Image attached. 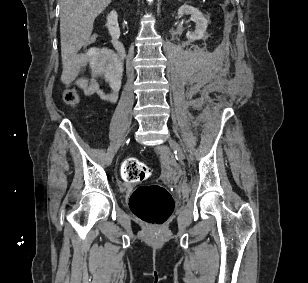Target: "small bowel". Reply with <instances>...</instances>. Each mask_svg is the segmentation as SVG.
<instances>
[{
  "label": "small bowel",
  "mask_w": 308,
  "mask_h": 283,
  "mask_svg": "<svg viewBox=\"0 0 308 283\" xmlns=\"http://www.w3.org/2000/svg\"><path fill=\"white\" fill-rule=\"evenodd\" d=\"M90 68L87 77L80 76L85 67ZM66 76L87 96H98L103 101L115 103L121 87L122 69L116 55L108 48H90L79 53L66 66ZM103 79L109 86L104 91L99 81Z\"/></svg>",
  "instance_id": "small-bowel-1"
}]
</instances>
